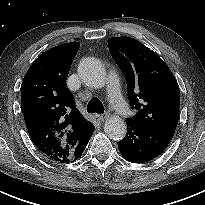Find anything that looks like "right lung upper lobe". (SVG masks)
<instances>
[{"label":"right lung upper lobe","instance_id":"1","mask_svg":"<svg viewBox=\"0 0 205 205\" xmlns=\"http://www.w3.org/2000/svg\"><path fill=\"white\" fill-rule=\"evenodd\" d=\"M80 43H65L42 53L21 86V109L29 135L50 159L72 162L73 150L93 130L75 107L66 79Z\"/></svg>","mask_w":205,"mask_h":205}]
</instances>
